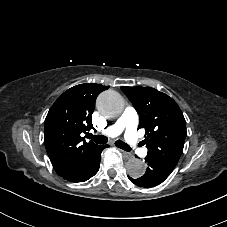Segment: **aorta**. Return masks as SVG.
<instances>
[{
    "label": "aorta",
    "mask_w": 227,
    "mask_h": 227,
    "mask_svg": "<svg viewBox=\"0 0 227 227\" xmlns=\"http://www.w3.org/2000/svg\"><path fill=\"white\" fill-rule=\"evenodd\" d=\"M97 109L105 117H113L122 113L124 109V100L122 96L113 90L101 93L97 99ZM127 173L130 177L140 178L145 174L146 165L137 158L130 159L126 164Z\"/></svg>",
    "instance_id": "obj_1"
}]
</instances>
